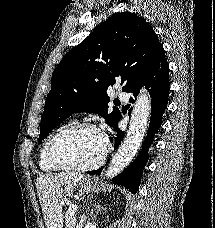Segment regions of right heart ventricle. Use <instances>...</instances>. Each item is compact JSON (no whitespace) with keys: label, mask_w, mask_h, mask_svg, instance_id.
I'll use <instances>...</instances> for the list:
<instances>
[{"label":"right heart ventricle","mask_w":215,"mask_h":228,"mask_svg":"<svg viewBox=\"0 0 215 228\" xmlns=\"http://www.w3.org/2000/svg\"><path fill=\"white\" fill-rule=\"evenodd\" d=\"M59 130H55L52 133H50L47 138L44 140L41 149H40V167L44 172H55L58 169L54 168L53 166H51L47 160V156H46V150H47V146L49 141L51 140V138L54 136V134L56 132H58Z\"/></svg>","instance_id":"e07e8e85"}]
</instances>
